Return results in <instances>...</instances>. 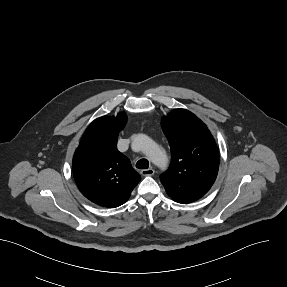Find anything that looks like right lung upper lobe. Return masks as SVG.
Returning <instances> with one entry per match:
<instances>
[{"instance_id": "right-lung-upper-lobe-1", "label": "right lung upper lobe", "mask_w": 287, "mask_h": 287, "mask_svg": "<svg viewBox=\"0 0 287 287\" xmlns=\"http://www.w3.org/2000/svg\"><path fill=\"white\" fill-rule=\"evenodd\" d=\"M127 116H103L85 131L73 157V174L81 193L93 203L115 208L124 204L140 181L130 160L117 149Z\"/></svg>"}]
</instances>
